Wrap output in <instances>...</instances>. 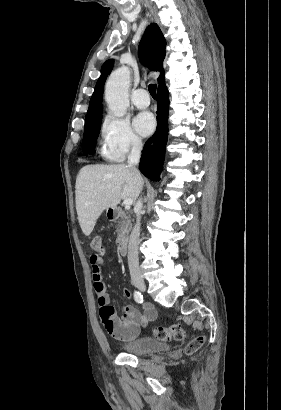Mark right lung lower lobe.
Segmentation results:
<instances>
[{
  "label": "right lung lower lobe",
  "mask_w": 281,
  "mask_h": 410,
  "mask_svg": "<svg viewBox=\"0 0 281 410\" xmlns=\"http://www.w3.org/2000/svg\"><path fill=\"white\" fill-rule=\"evenodd\" d=\"M157 129L144 146L140 171L149 179L160 180L168 137L169 94L166 85L158 87Z\"/></svg>",
  "instance_id": "1"
}]
</instances>
